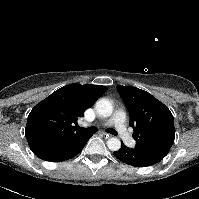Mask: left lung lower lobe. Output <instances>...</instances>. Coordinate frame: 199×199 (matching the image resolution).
I'll use <instances>...</instances> for the list:
<instances>
[{"instance_id": "1", "label": "left lung lower lobe", "mask_w": 199, "mask_h": 199, "mask_svg": "<svg viewBox=\"0 0 199 199\" xmlns=\"http://www.w3.org/2000/svg\"><path fill=\"white\" fill-rule=\"evenodd\" d=\"M114 156L123 163L135 167H146L154 165L161 161L163 158L153 153L140 150L138 148L126 147L123 143L118 151L113 152Z\"/></svg>"}]
</instances>
